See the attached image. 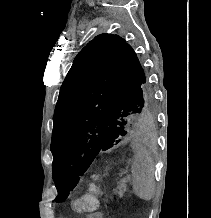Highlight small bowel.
I'll return each mask as SVG.
<instances>
[{"mask_svg":"<svg viewBox=\"0 0 211 218\" xmlns=\"http://www.w3.org/2000/svg\"><path fill=\"white\" fill-rule=\"evenodd\" d=\"M87 218H103V216L100 212H92L87 216Z\"/></svg>","mask_w":211,"mask_h":218,"instance_id":"1","label":"small bowel"}]
</instances>
